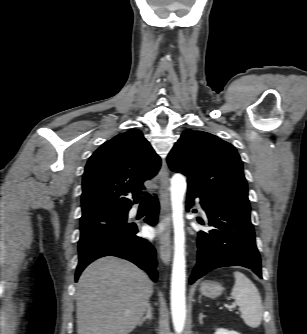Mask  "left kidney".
Returning <instances> with one entry per match:
<instances>
[{
	"label": "left kidney",
	"mask_w": 307,
	"mask_h": 334,
	"mask_svg": "<svg viewBox=\"0 0 307 334\" xmlns=\"http://www.w3.org/2000/svg\"><path fill=\"white\" fill-rule=\"evenodd\" d=\"M215 334H240L236 331H228L226 329H217Z\"/></svg>",
	"instance_id": "obj_1"
}]
</instances>
